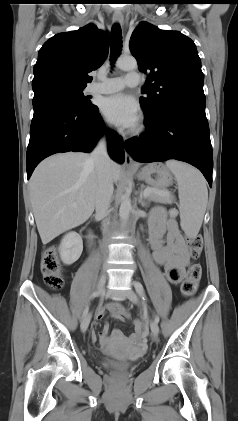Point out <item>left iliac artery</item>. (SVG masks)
<instances>
[{
	"mask_svg": "<svg viewBox=\"0 0 238 421\" xmlns=\"http://www.w3.org/2000/svg\"><path fill=\"white\" fill-rule=\"evenodd\" d=\"M134 286H135V289H136V292L138 293V295L143 300H146L147 298H146V295H145V292H144L143 285L140 282H135ZM155 322H157V323L159 322V317L157 315L155 316Z\"/></svg>",
	"mask_w": 238,
	"mask_h": 421,
	"instance_id": "1",
	"label": "left iliac artery"
}]
</instances>
